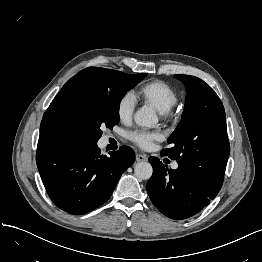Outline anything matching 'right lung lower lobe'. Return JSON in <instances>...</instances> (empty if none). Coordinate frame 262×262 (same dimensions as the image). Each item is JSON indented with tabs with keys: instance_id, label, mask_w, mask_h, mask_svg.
Wrapping results in <instances>:
<instances>
[{
	"instance_id": "1",
	"label": "right lung lower lobe",
	"mask_w": 262,
	"mask_h": 262,
	"mask_svg": "<svg viewBox=\"0 0 262 262\" xmlns=\"http://www.w3.org/2000/svg\"><path fill=\"white\" fill-rule=\"evenodd\" d=\"M110 156L97 144L68 137H39L36 162L53 203L82 215L105 203L124 171L135 161L132 148L122 146Z\"/></svg>"
}]
</instances>
